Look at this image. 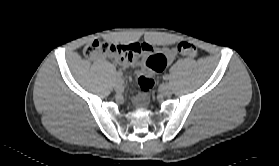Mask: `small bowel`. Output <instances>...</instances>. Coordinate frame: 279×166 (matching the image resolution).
Listing matches in <instances>:
<instances>
[{"label": "small bowel", "mask_w": 279, "mask_h": 166, "mask_svg": "<svg viewBox=\"0 0 279 166\" xmlns=\"http://www.w3.org/2000/svg\"><path fill=\"white\" fill-rule=\"evenodd\" d=\"M134 44H136V43H134ZM141 45L143 47L142 52H145V53L153 52V48L149 44L145 43V44H141ZM156 53L162 55V57L164 59V65H163L162 69L159 70V72L164 70L165 67L169 63H171L175 59V57H176V51L173 48L164 47V48H162L160 51H158ZM136 55H133L131 57H118V56L109 54L108 56L110 58L115 59L124 68L130 69V68H135V67H137L139 65V62L137 60Z\"/></svg>", "instance_id": "c3829d8e"}]
</instances>
